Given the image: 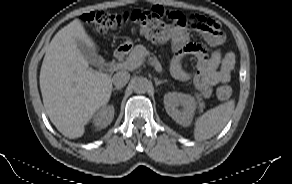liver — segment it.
I'll return each mask as SVG.
<instances>
[{
	"mask_svg": "<svg viewBox=\"0 0 292 184\" xmlns=\"http://www.w3.org/2000/svg\"><path fill=\"white\" fill-rule=\"evenodd\" d=\"M77 40L96 50L81 21L75 19L55 34L40 70L46 112L57 130L71 139L84 134V126L108 103L112 91L111 75L88 68Z\"/></svg>",
	"mask_w": 292,
	"mask_h": 184,
	"instance_id": "6515ba94",
	"label": "liver"
}]
</instances>
